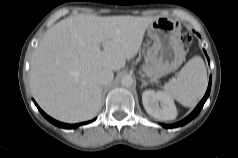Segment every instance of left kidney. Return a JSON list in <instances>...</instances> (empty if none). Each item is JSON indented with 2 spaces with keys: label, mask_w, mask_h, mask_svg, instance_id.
<instances>
[{
  "label": "left kidney",
  "mask_w": 238,
  "mask_h": 158,
  "mask_svg": "<svg viewBox=\"0 0 238 158\" xmlns=\"http://www.w3.org/2000/svg\"><path fill=\"white\" fill-rule=\"evenodd\" d=\"M142 102L146 112L155 119L164 121L177 117V109L172 98L162 91H144Z\"/></svg>",
  "instance_id": "1"
}]
</instances>
